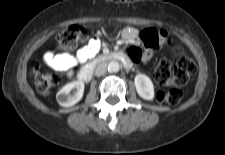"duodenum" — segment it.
I'll return each mask as SVG.
<instances>
[{"label": "duodenum", "instance_id": "duodenum-1", "mask_svg": "<svg viewBox=\"0 0 225 155\" xmlns=\"http://www.w3.org/2000/svg\"><path fill=\"white\" fill-rule=\"evenodd\" d=\"M104 61H117L123 64L124 67L129 68L131 67V61L121 52H112L107 55L101 56L96 59L93 63L84 67L78 75V78L82 82H88L91 80L94 68L96 65L100 64Z\"/></svg>", "mask_w": 225, "mask_h": 155}]
</instances>
